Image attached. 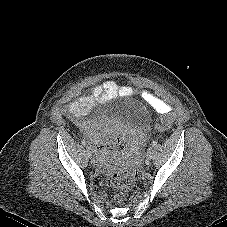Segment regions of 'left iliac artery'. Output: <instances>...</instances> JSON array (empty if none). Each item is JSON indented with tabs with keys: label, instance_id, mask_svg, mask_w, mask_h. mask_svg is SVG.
Instances as JSON below:
<instances>
[{
	"label": "left iliac artery",
	"instance_id": "1",
	"mask_svg": "<svg viewBox=\"0 0 227 227\" xmlns=\"http://www.w3.org/2000/svg\"><path fill=\"white\" fill-rule=\"evenodd\" d=\"M156 144H157V141H153L151 145L155 146Z\"/></svg>",
	"mask_w": 227,
	"mask_h": 227
}]
</instances>
